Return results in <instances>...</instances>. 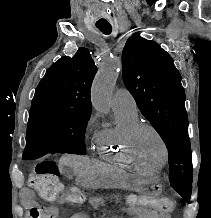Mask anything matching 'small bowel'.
Returning <instances> with one entry per match:
<instances>
[{"instance_id":"c3829d8e","label":"small bowel","mask_w":211,"mask_h":218,"mask_svg":"<svg viewBox=\"0 0 211 218\" xmlns=\"http://www.w3.org/2000/svg\"><path fill=\"white\" fill-rule=\"evenodd\" d=\"M21 197H22V202L26 207H29V208L36 207L37 204H36V200H35V193H34V191L32 189L24 188L22 190ZM88 203L92 207H97V206H100L102 204V201H100V200H91ZM130 210L133 213L142 214V215H145L148 218L158 217V216H156V213L154 211L149 210V209L132 207V208H130ZM44 212H45V214L47 216L52 217V218H55L57 213H58L57 209L54 208V207L45 208Z\"/></svg>"}]
</instances>
